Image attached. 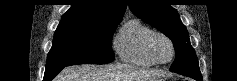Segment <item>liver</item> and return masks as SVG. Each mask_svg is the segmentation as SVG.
Returning <instances> with one entry per match:
<instances>
[{"label":"liver","instance_id":"6515ba94","mask_svg":"<svg viewBox=\"0 0 237 81\" xmlns=\"http://www.w3.org/2000/svg\"><path fill=\"white\" fill-rule=\"evenodd\" d=\"M163 76V72L153 69L85 64L66 67L57 76L56 81H153Z\"/></svg>","mask_w":237,"mask_h":81}]
</instances>
